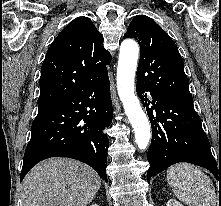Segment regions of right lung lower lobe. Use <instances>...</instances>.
<instances>
[{"instance_id":"right-lung-lower-lobe-1","label":"right lung lower lobe","mask_w":221,"mask_h":206,"mask_svg":"<svg viewBox=\"0 0 221 206\" xmlns=\"http://www.w3.org/2000/svg\"><path fill=\"white\" fill-rule=\"evenodd\" d=\"M112 115L108 74L73 96L39 107L20 181L38 162L55 156L80 160L107 181L109 141L103 130L111 124Z\"/></svg>"}]
</instances>
